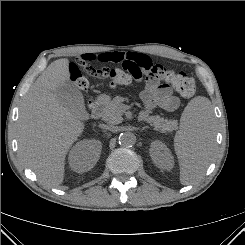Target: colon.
Returning <instances> with one entry per match:
<instances>
[{
	"instance_id": "obj_1",
	"label": "colon",
	"mask_w": 245,
	"mask_h": 245,
	"mask_svg": "<svg viewBox=\"0 0 245 245\" xmlns=\"http://www.w3.org/2000/svg\"><path fill=\"white\" fill-rule=\"evenodd\" d=\"M96 55L85 53L78 57L77 62L70 67L71 79L81 90L89 88L87 78L82 74V68L89 75L96 78H107L112 87L128 84L133 77L140 74V69L130 59L124 60L120 67L108 68L106 66H94ZM147 80L158 82L165 81L174 87L182 96L189 98L196 92L195 81L183 72L176 71L167 65L154 64L146 74Z\"/></svg>"
}]
</instances>
